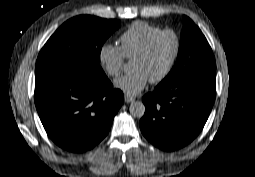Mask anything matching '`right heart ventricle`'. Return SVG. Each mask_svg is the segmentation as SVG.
Here are the masks:
<instances>
[{"label":"right heart ventricle","mask_w":255,"mask_h":177,"mask_svg":"<svg viewBox=\"0 0 255 177\" xmlns=\"http://www.w3.org/2000/svg\"><path fill=\"white\" fill-rule=\"evenodd\" d=\"M161 30L147 22H133L120 36L121 49L126 59H132L143 48L147 40Z\"/></svg>","instance_id":"right-heart-ventricle-1"}]
</instances>
